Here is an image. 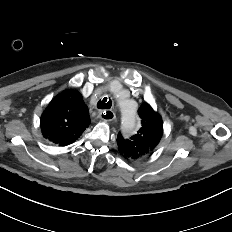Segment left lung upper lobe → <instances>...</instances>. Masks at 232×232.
I'll use <instances>...</instances> for the list:
<instances>
[{
    "label": "left lung upper lobe",
    "mask_w": 232,
    "mask_h": 232,
    "mask_svg": "<svg viewBox=\"0 0 232 232\" xmlns=\"http://www.w3.org/2000/svg\"><path fill=\"white\" fill-rule=\"evenodd\" d=\"M141 118V128L130 138H124L120 133L117 144L120 154L132 161L151 155L159 144L163 134L161 116L146 102L138 109Z\"/></svg>",
    "instance_id": "obj_1"
}]
</instances>
